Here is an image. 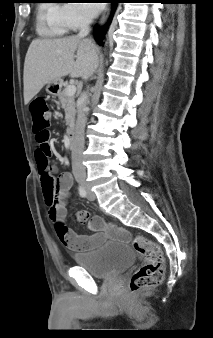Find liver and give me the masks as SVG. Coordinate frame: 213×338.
I'll use <instances>...</instances> for the list:
<instances>
[{
    "label": "liver",
    "instance_id": "obj_1",
    "mask_svg": "<svg viewBox=\"0 0 213 338\" xmlns=\"http://www.w3.org/2000/svg\"><path fill=\"white\" fill-rule=\"evenodd\" d=\"M97 67L98 47L91 39H35L25 57L24 103L28 104L45 84L67 75L87 80Z\"/></svg>",
    "mask_w": 213,
    "mask_h": 338
}]
</instances>
